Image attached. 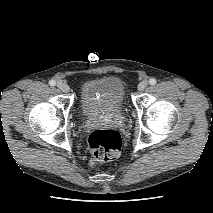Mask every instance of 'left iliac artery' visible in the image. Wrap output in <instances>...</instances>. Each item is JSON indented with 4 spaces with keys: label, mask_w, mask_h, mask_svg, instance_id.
Instances as JSON below:
<instances>
[{
    "label": "left iliac artery",
    "mask_w": 213,
    "mask_h": 213,
    "mask_svg": "<svg viewBox=\"0 0 213 213\" xmlns=\"http://www.w3.org/2000/svg\"><path fill=\"white\" fill-rule=\"evenodd\" d=\"M149 84L150 85H155L156 84V79H154V78L149 79Z\"/></svg>",
    "instance_id": "left-iliac-artery-1"
}]
</instances>
